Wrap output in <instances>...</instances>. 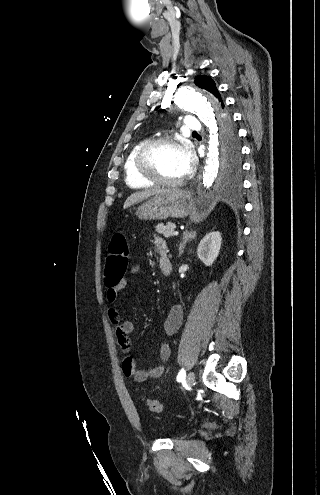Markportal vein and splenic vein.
<instances>
[{"instance_id": "portal-vein-and-splenic-vein-1", "label": "portal vein and splenic vein", "mask_w": 320, "mask_h": 495, "mask_svg": "<svg viewBox=\"0 0 320 495\" xmlns=\"http://www.w3.org/2000/svg\"><path fill=\"white\" fill-rule=\"evenodd\" d=\"M179 233L178 231L174 232L173 235L177 236Z\"/></svg>"}]
</instances>
